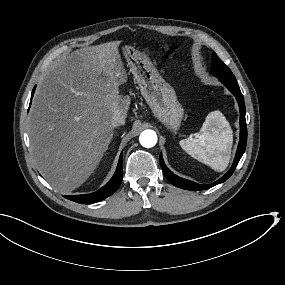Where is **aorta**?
Listing matches in <instances>:
<instances>
[{
	"label": "aorta",
	"instance_id": "aorta-1",
	"mask_svg": "<svg viewBox=\"0 0 285 285\" xmlns=\"http://www.w3.org/2000/svg\"><path fill=\"white\" fill-rule=\"evenodd\" d=\"M140 144L145 148L154 147L157 143V135L154 130H144L139 137Z\"/></svg>",
	"mask_w": 285,
	"mask_h": 285
}]
</instances>
